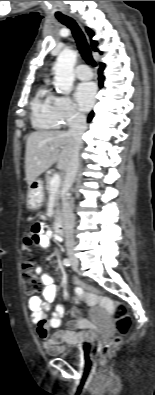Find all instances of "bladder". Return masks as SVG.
I'll list each match as a JSON object with an SVG mask.
<instances>
[{
  "instance_id": "1",
  "label": "bladder",
  "mask_w": 155,
  "mask_h": 395,
  "mask_svg": "<svg viewBox=\"0 0 155 395\" xmlns=\"http://www.w3.org/2000/svg\"><path fill=\"white\" fill-rule=\"evenodd\" d=\"M54 353L59 357L65 358L73 362H79L83 356V350H81L77 346L70 344H63L58 346Z\"/></svg>"
}]
</instances>
